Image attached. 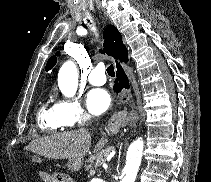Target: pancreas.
Here are the masks:
<instances>
[{
    "label": "pancreas",
    "mask_w": 211,
    "mask_h": 182,
    "mask_svg": "<svg viewBox=\"0 0 211 182\" xmlns=\"http://www.w3.org/2000/svg\"><path fill=\"white\" fill-rule=\"evenodd\" d=\"M111 150H113V147L107 148L90 156L86 160L87 164L85 165V170L90 173L94 168H98L106 160V157Z\"/></svg>",
    "instance_id": "pancreas-1"
}]
</instances>
